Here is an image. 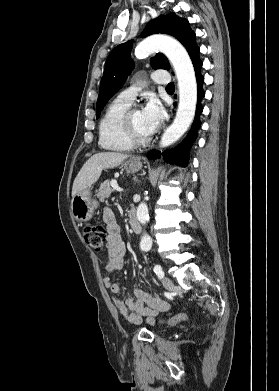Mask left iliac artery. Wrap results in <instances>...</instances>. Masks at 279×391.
<instances>
[{
	"mask_svg": "<svg viewBox=\"0 0 279 391\" xmlns=\"http://www.w3.org/2000/svg\"><path fill=\"white\" fill-rule=\"evenodd\" d=\"M154 272L156 273V275L159 277V278H163L164 277V272L162 271V268L160 265H155L154 267Z\"/></svg>",
	"mask_w": 279,
	"mask_h": 391,
	"instance_id": "1",
	"label": "left iliac artery"
}]
</instances>
